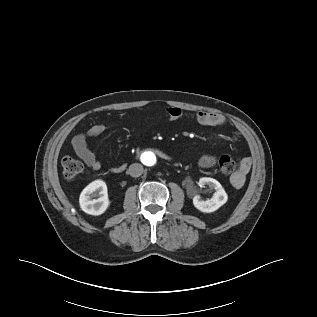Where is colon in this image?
I'll use <instances>...</instances> for the list:
<instances>
[{
  "instance_id": "1",
  "label": "colon",
  "mask_w": 317,
  "mask_h": 317,
  "mask_svg": "<svg viewBox=\"0 0 317 317\" xmlns=\"http://www.w3.org/2000/svg\"><path fill=\"white\" fill-rule=\"evenodd\" d=\"M61 165L63 175L66 179L75 178L83 170L82 163L70 156L64 157L62 159ZM218 168L223 175H229L237 170V163L233 158L224 155L218 160Z\"/></svg>"
}]
</instances>
